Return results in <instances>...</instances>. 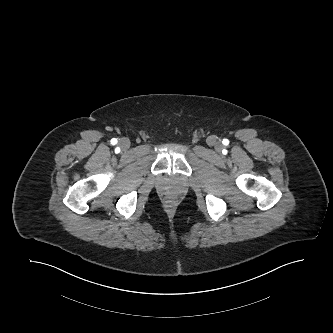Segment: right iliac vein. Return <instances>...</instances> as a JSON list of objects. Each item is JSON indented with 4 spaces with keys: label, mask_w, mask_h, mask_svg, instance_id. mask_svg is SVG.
<instances>
[{
    "label": "right iliac vein",
    "mask_w": 333,
    "mask_h": 333,
    "mask_svg": "<svg viewBox=\"0 0 333 333\" xmlns=\"http://www.w3.org/2000/svg\"><path fill=\"white\" fill-rule=\"evenodd\" d=\"M119 144L123 150H127L130 147V140L128 138H122Z\"/></svg>",
    "instance_id": "1"
}]
</instances>
